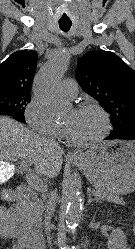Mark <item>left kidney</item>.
Returning <instances> with one entry per match:
<instances>
[{"label": "left kidney", "instance_id": "left-kidney-1", "mask_svg": "<svg viewBox=\"0 0 135 249\" xmlns=\"http://www.w3.org/2000/svg\"><path fill=\"white\" fill-rule=\"evenodd\" d=\"M108 249H126L127 248V239L125 234L120 228L112 230L108 242Z\"/></svg>", "mask_w": 135, "mask_h": 249}]
</instances>
